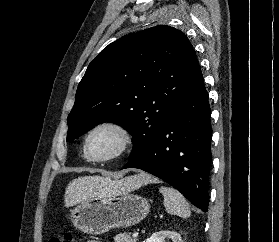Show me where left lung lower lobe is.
Segmentation results:
<instances>
[{"label": "left lung lower lobe", "instance_id": "0a47b994", "mask_svg": "<svg viewBox=\"0 0 279 242\" xmlns=\"http://www.w3.org/2000/svg\"><path fill=\"white\" fill-rule=\"evenodd\" d=\"M211 124L208 95L199 64L151 146L123 168L142 169L179 190L207 211L211 171Z\"/></svg>", "mask_w": 279, "mask_h": 242}]
</instances>
